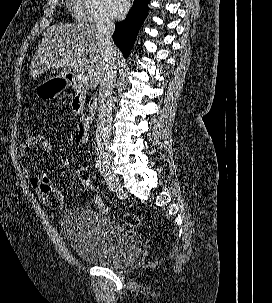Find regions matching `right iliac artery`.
Returning <instances> with one entry per match:
<instances>
[{
  "label": "right iliac artery",
  "mask_w": 272,
  "mask_h": 303,
  "mask_svg": "<svg viewBox=\"0 0 272 303\" xmlns=\"http://www.w3.org/2000/svg\"><path fill=\"white\" fill-rule=\"evenodd\" d=\"M95 167L97 168V170L100 172V174L105 178V180L107 181L108 187L110 191H113V184L111 181V178L108 176L109 174L107 173L106 168L103 166L102 162L100 161V159H98L95 163Z\"/></svg>",
  "instance_id": "1"
}]
</instances>
